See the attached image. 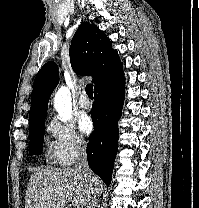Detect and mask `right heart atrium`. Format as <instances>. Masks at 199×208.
<instances>
[{
    "label": "right heart atrium",
    "mask_w": 199,
    "mask_h": 208,
    "mask_svg": "<svg viewBox=\"0 0 199 208\" xmlns=\"http://www.w3.org/2000/svg\"><path fill=\"white\" fill-rule=\"evenodd\" d=\"M49 135V153L59 165L66 166L84 154L85 139L77 133L70 122H61L57 118L51 119L47 126Z\"/></svg>",
    "instance_id": "right-heart-atrium-1"
}]
</instances>
